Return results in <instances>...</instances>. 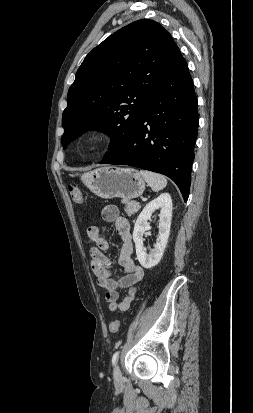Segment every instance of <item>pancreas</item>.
<instances>
[{"instance_id": "obj_1", "label": "pancreas", "mask_w": 253, "mask_h": 413, "mask_svg": "<svg viewBox=\"0 0 253 413\" xmlns=\"http://www.w3.org/2000/svg\"><path fill=\"white\" fill-rule=\"evenodd\" d=\"M122 203L125 204L124 210L128 216L135 214L141 208L140 203L136 201H129V200L123 199Z\"/></svg>"}]
</instances>
